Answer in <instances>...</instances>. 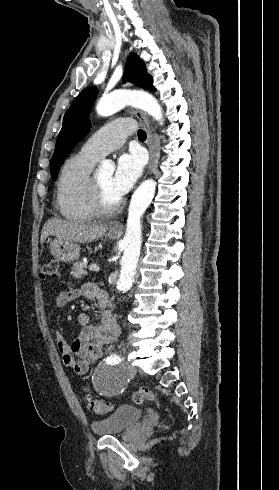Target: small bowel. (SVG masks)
Listing matches in <instances>:
<instances>
[{
	"instance_id": "1",
	"label": "small bowel",
	"mask_w": 279,
	"mask_h": 490,
	"mask_svg": "<svg viewBox=\"0 0 279 490\" xmlns=\"http://www.w3.org/2000/svg\"><path fill=\"white\" fill-rule=\"evenodd\" d=\"M80 297L96 300L99 323H94L89 313L81 312L77 315L81 330L75 340L69 342L58 330L55 331V336L63 364L75 373L85 374L101 356L103 348L116 342L120 323L108 294L93 284L62 291L49 305L53 309H60Z\"/></svg>"
}]
</instances>
